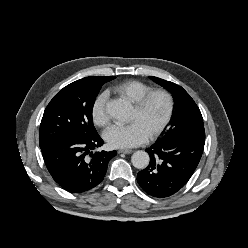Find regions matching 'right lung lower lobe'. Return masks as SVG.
I'll return each mask as SVG.
<instances>
[{
    "label": "right lung lower lobe",
    "instance_id": "obj_1",
    "mask_svg": "<svg viewBox=\"0 0 248 248\" xmlns=\"http://www.w3.org/2000/svg\"><path fill=\"white\" fill-rule=\"evenodd\" d=\"M103 145L97 134L91 136L68 135L58 138L41 148L51 176L63 189L82 193L102 182L108 162L117 152L92 150Z\"/></svg>",
    "mask_w": 248,
    "mask_h": 248
}]
</instances>
